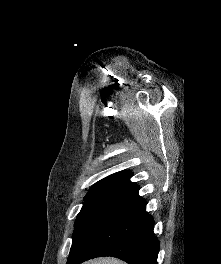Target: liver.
Masks as SVG:
<instances>
[{
    "mask_svg": "<svg viewBox=\"0 0 221 264\" xmlns=\"http://www.w3.org/2000/svg\"><path fill=\"white\" fill-rule=\"evenodd\" d=\"M83 264H126L121 260L109 257L97 258L94 260L87 261Z\"/></svg>",
    "mask_w": 221,
    "mask_h": 264,
    "instance_id": "obj_1",
    "label": "liver"
}]
</instances>
